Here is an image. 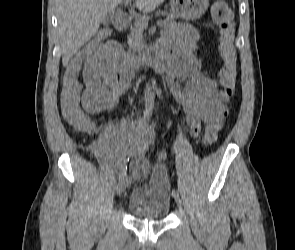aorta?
Instances as JSON below:
<instances>
[{"label": "aorta", "mask_w": 295, "mask_h": 250, "mask_svg": "<svg viewBox=\"0 0 295 250\" xmlns=\"http://www.w3.org/2000/svg\"><path fill=\"white\" fill-rule=\"evenodd\" d=\"M144 101L145 106L147 107H153L154 106V93L152 91V88L150 86H147L144 91Z\"/></svg>", "instance_id": "obj_1"}]
</instances>
